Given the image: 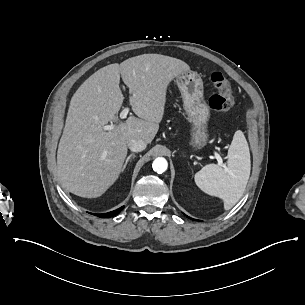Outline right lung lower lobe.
Segmentation results:
<instances>
[{
	"label": "right lung lower lobe",
	"mask_w": 305,
	"mask_h": 305,
	"mask_svg": "<svg viewBox=\"0 0 305 305\" xmlns=\"http://www.w3.org/2000/svg\"><path fill=\"white\" fill-rule=\"evenodd\" d=\"M123 208H124V206H123V207H120V208L117 209V210L111 211V212H109V213H105V214H95V215H96V216H99V217H103V218H104V217L108 218V217L115 216V215L119 214L120 211H121Z\"/></svg>",
	"instance_id": "98d812e1"
}]
</instances>
